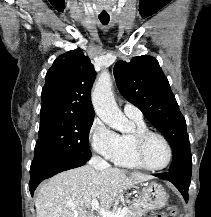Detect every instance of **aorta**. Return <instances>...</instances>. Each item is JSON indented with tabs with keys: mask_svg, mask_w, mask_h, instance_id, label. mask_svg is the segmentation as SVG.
Instances as JSON below:
<instances>
[{
	"mask_svg": "<svg viewBox=\"0 0 211 217\" xmlns=\"http://www.w3.org/2000/svg\"><path fill=\"white\" fill-rule=\"evenodd\" d=\"M92 103L97 116L109 127L126 132L130 129V122L117 106L113 93L111 76L102 71L92 92Z\"/></svg>",
	"mask_w": 211,
	"mask_h": 217,
	"instance_id": "aorta-1",
	"label": "aorta"
}]
</instances>
